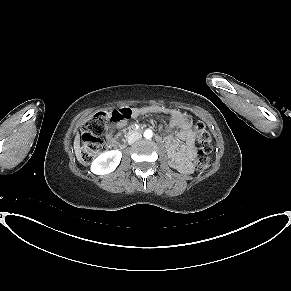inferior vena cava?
Returning a JSON list of instances; mask_svg holds the SVG:
<instances>
[{
  "label": "inferior vena cava",
  "mask_w": 291,
  "mask_h": 291,
  "mask_svg": "<svg viewBox=\"0 0 291 291\" xmlns=\"http://www.w3.org/2000/svg\"><path fill=\"white\" fill-rule=\"evenodd\" d=\"M142 137V135L140 133H133L128 137V143L132 144L135 141L139 140Z\"/></svg>",
  "instance_id": "602c4592"
}]
</instances>
